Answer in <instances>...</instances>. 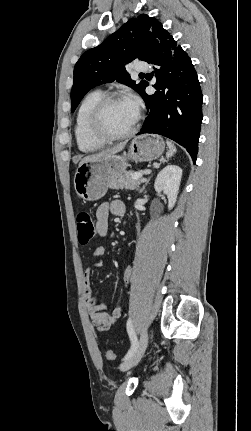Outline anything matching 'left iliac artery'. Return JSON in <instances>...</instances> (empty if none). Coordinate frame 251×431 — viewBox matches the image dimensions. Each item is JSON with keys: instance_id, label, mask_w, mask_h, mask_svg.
<instances>
[{"instance_id": "44dca946", "label": "left iliac artery", "mask_w": 251, "mask_h": 431, "mask_svg": "<svg viewBox=\"0 0 251 431\" xmlns=\"http://www.w3.org/2000/svg\"><path fill=\"white\" fill-rule=\"evenodd\" d=\"M127 332L129 334L130 340H131V347L128 350L127 354L124 357V360L127 359L128 357H130L134 351L136 350L137 346H138V340H137V336L135 334L134 331V327H133V323H132V319L129 318L127 320Z\"/></svg>"}]
</instances>
